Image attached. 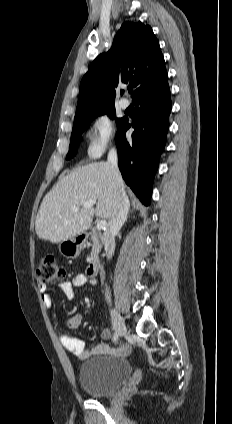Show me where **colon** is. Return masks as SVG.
Wrapping results in <instances>:
<instances>
[{"instance_id": "1", "label": "colon", "mask_w": 232, "mask_h": 424, "mask_svg": "<svg viewBox=\"0 0 232 424\" xmlns=\"http://www.w3.org/2000/svg\"><path fill=\"white\" fill-rule=\"evenodd\" d=\"M66 276L65 268L57 263L53 254L45 253L39 257L36 278L41 285L55 284L63 281Z\"/></svg>"}]
</instances>
